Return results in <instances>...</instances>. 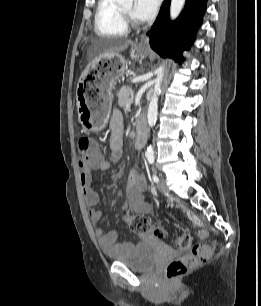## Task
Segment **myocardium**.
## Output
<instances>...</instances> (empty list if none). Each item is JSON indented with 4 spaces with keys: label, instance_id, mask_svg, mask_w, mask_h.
<instances>
[{
    "label": "myocardium",
    "instance_id": "obj_1",
    "mask_svg": "<svg viewBox=\"0 0 261 306\" xmlns=\"http://www.w3.org/2000/svg\"><path fill=\"white\" fill-rule=\"evenodd\" d=\"M120 11L127 25L137 26L139 24L134 17L127 13L122 7H120Z\"/></svg>",
    "mask_w": 261,
    "mask_h": 306
}]
</instances>
